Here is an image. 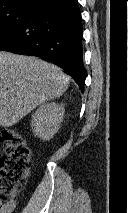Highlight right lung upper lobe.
Returning a JSON list of instances; mask_svg holds the SVG:
<instances>
[{"instance_id":"obj_1","label":"right lung upper lobe","mask_w":128,"mask_h":213,"mask_svg":"<svg viewBox=\"0 0 128 213\" xmlns=\"http://www.w3.org/2000/svg\"><path fill=\"white\" fill-rule=\"evenodd\" d=\"M41 0H0V7L2 6H20L33 8Z\"/></svg>"}]
</instances>
